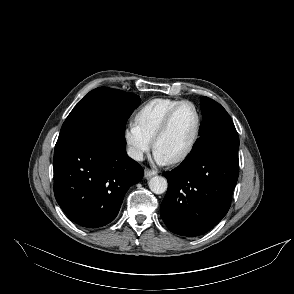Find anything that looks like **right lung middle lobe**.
<instances>
[{
	"label": "right lung middle lobe",
	"instance_id": "dd1d6c3e",
	"mask_svg": "<svg viewBox=\"0 0 294 294\" xmlns=\"http://www.w3.org/2000/svg\"><path fill=\"white\" fill-rule=\"evenodd\" d=\"M139 104L137 95L96 88L73 108L62 125L56 144L67 139L108 133L124 136L126 121Z\"/></svg>",
	"mask_w": 294,
	"mask_h": 294
}]
</instances>
